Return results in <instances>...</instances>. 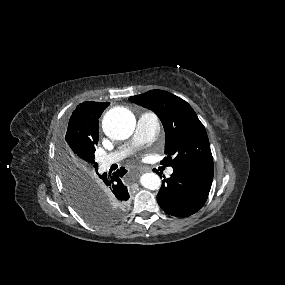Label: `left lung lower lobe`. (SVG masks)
<instances>
[{
    "label": "left lung lower lobe",
    "mask_w": 285,
    "mask_h": 285,
    "mask_svg": "<svg viewBox=\"0 0 285 285\" xmlns=\"http://www.w3.org/2000/svg\"><path fill=\"white\" fill-rule=\"evenodd\" d=\"M173 170V174L162 181L157 201L167 214L187 217L196 213L206 202L213 171L181 168Z\"/></svg>",
    "instance_id": "obj_1"
}]
</instances>
